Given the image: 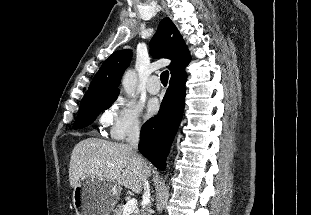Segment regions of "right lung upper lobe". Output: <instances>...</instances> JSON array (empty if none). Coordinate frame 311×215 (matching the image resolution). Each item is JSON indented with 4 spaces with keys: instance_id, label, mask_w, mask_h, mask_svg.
Wrapping results in <instances>:
<instances>
[{
    "instance_id": "right-lung-upper-lobe-1",
    "label": "right lung upper lobe",
    "mask_w": 311,
    "mask_h": 215,
    "mask_svg": "<svg viewBox=\"0 0 311 215\" xmlns=\"http://www.w3.org/2000/svg\"><path fill=\"white\" fill-rule=\"evenodd\" d=\"M150 53L155 58H168L171 77L182 71L190 62V54L182 36L169 18L159 23L156 34L150 41ZM132 59L130 50L114 52L100 67L93 78L82 102L104 97L118 96L121 77Z\"/></svg>"
}]
</instances>
